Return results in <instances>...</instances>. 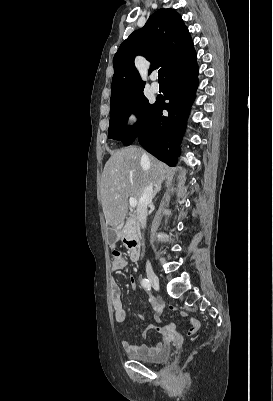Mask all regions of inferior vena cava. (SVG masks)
I'll use <instances>...</instances> for the list:
<instances>
[{
  "label": "inferior vena cava",
  "mask_w": 273,
  "mask_h": 401,
  "mask_svg": "<svg viewBox=\"0 0 273 401\" xmlns=\"http://www.w3.org/2000/svg\"><path fill=\"white\" fill-rule=\"evenodd\" d=\"M142 158H146L147 162H149L147 154H143ZM152 198L153 182H149L148 186L143 188V192L137 207V221L141 229H145L146 227L147 207L150 205V203H152Z\"/></svg>",
  "instance_id": "obj_1"
}]
</instances>
